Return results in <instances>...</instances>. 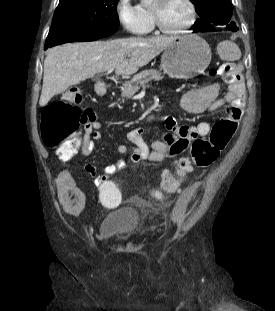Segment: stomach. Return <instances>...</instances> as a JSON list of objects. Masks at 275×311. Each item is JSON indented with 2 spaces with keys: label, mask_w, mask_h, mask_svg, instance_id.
<instances>
[{
  "label": "stomach",
  "mask_w": 275,
  "mask_h": 311,
  "mask_svg": "<svg viewBox=\"0 0 275 311\" xmlns=\"http://www.w3.org/2000/svg\"><path fill=\"white\" fill-rule=\"evenodd\" d=\"M208 43L196 34L177 37L164 50L161 68L168 76L189 79L204 72L211 62Z\"/></svg>",
  "instance_id": "0dacf381"
}]
</instances>
